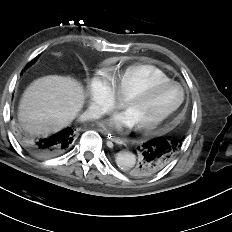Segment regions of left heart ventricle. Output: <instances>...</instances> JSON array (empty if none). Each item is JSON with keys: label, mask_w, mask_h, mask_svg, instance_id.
<instances>
[{"label": "left heart ventricle", "mask_w": 232, "mask_h": 232, "mask_svg": "<svg viewBox=\"0 0 232 232\" xmlns=\"http://www.w3.org/2000/svg\"><path fill=\"white\" fill-rule=\"evenodd\" d=\"M181 98V91L176 86H167L147 97L143 101L131 102L126 111L135 126L153 122L163 116Z\"/></svg>", "instance_id": "obj_1"}]
</instances>
